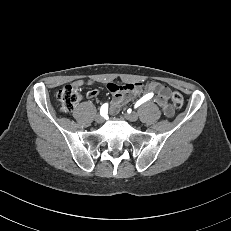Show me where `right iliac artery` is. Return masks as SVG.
Here are the masks:
<instances>
[{
    "instance_id": "obj_1",
    "label": "right iliac artery",
    "mask_w": 231,
    "mask_h": 231,
    "mask_svg": "<svg viewBox=\"0 0 231 231\" xmlns=\"http://www.w3.org/2000/svg\"><path fill=\"white\" fill-rule=\"evenodd\" d=\"M108 112V104H103L100 109L101 116H106Z\"/></svg>"
}]
</instances>
